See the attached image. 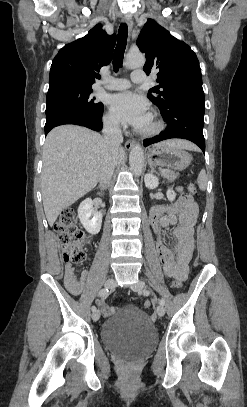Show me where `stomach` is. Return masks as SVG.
<instances>
[{"mask_svg":"<svg viewBox=\"0 0 247 407\" xmlns=\"http://www.w3.org/2000/svg\"><path fill=\"white\" fill-rule=\"evenodd\" d=\"M147 160L151 166L181 171L190 165L192 157L183 149L160 143L149 149Z\"/></svg>","mask_w":247,"mask_h":407,"instance_id":"0dacf381","label":"stomach"}]
</instances>
